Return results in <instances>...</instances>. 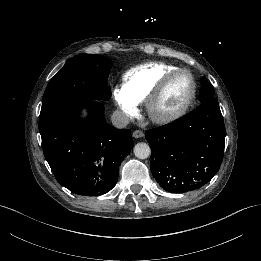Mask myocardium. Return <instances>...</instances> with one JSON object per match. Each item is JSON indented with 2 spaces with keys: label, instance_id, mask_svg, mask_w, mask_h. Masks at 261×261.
I'll use <instances>...</instances> for the list:
<instances>
[{
  "label": "myocardium",
  "instance_id": "myocardium-1",
  "mask_svg": "<svg viewBox=\"0 0 261 261\" xmlns=\"http://www.w3.org/2000/svg\"><path fill=\"white\" fill-rule=\"evenodd\" d=\"M178 75H185L191 84V92L186 101L176 110L164 112L160 110V104L163 101L167 91L169 90L174 78ZM197 86L192 74L184 69L176 68L168 73L156 90L147 99L146 108L151 121L157 124H167L182 117L196 97Z\"/></svg>",
  "mask_w": 261,
  "mask_h": 261
}]
</instances>
